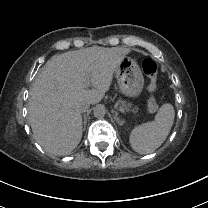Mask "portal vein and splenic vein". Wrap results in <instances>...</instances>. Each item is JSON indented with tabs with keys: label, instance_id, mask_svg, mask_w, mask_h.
Listing matches in <instances>:
<instances>
[{
	"label": "portal vein and splenic vein",
	"instance_id": "1",
	"mask_svg": "<svg viewBox=\"0 0 208 208\" xmlns=\"http://www.w3.org/2000/svg\"><path fill=\"white\" fill-rule=\"evenodd\" d=\"M89 84H90V83H87L85 87H86V88L89 87ZM116 108H118V110H119L120 112H124V108H123V107H119V105H116Z\"/></svg>",
	"mask_w": 208,
	"mask_h": 208
}]
</instances>
